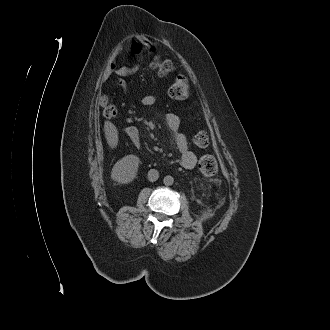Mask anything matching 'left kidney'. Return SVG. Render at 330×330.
<instances>
[{"label": "left kidney", "instance_id": "5707ae66", "mask_svg": "<svg viewBox=\"0 0 330 330\" xmlns=\"http://www.w3.org/2000/svg\"><path fill=\"white\" fill-rule=\"evenodd\" d=\"M212 216H213L212 210L207 209V210L202 212L201 218H202V220H206L208 218H211Z\"/></svg>", "mask_w": 330, "mask_h": 330}]
</instances>
